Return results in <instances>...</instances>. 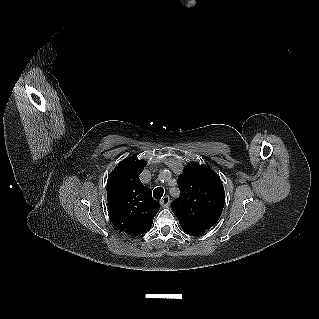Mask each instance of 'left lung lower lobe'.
<instances>
[{
  "label": "left lung lower lobe",
  "instance_id": "obj_1",
  "mask_svg": "<svg viewBox=\"0 0 319 319\" xmlns=\"http://www.w3.org/2000/svg\"><path fill=\"white\" fill-rule=\"evenodd\" d=\"M182 229L184 230V232H186L187 234H189L191 236H198V235H202L205 233L204 231L193 230V229H189V228H185V227H182Z\"/></svg>",
  "mask_w": 319,
  "mask_h": 319
}]
</instances>
